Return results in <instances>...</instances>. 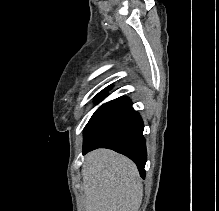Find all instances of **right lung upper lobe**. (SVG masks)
I'll use <instances>...</instances> for the list:
<instances>
[{"instance_id": "right-lung-upper-lobe-1", "label": "right lung upper lobe", "mask_w": 219, "mask_h": 211, "mask_svg": "<svg viewBox=\"0 0 219 211\" xmlns=\"http://www.w3.org/2000/svg\"><path fill=\"white\" fill-rule=\"evenodd\" d=\"M110 89V87H107L106 89H105V91H102V92H107L106 90H109Z\"/></svg>"}]
</instances>
